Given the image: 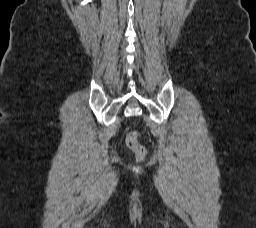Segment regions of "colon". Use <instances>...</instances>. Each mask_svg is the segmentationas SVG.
Segmentation results:
<instances>
[{
  "mask_svg": "<svg viewBox=\"0 0 256 228\" xmlns=\"http://www.w3.org/2000/svg\"><path fill=\"white\" fill-rule=\"evenodd\" d=\"M139 132L134 130L127 134L126 145L134 152L138 160L144 159L146 156V148L139 142Z\"/></svg>",
  "mask_w": 256,
  "mask_h": 228,
  "instance_id": "colon-1",
  "label": "colon"
}]
</instances>
